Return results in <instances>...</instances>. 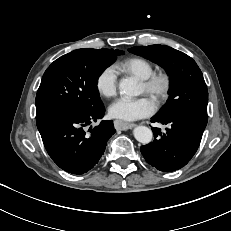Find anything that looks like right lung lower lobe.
<instances>
[{"instance_id":"98d812e1","label":"right lung lower lobe","mask_w":231,"mask_h":231,"mask_svg":"<svg viewBox=\"0 0 231 231\" xmlns=\"http://www.w3.org/2000/svg\"><path fill=\"white\" fill-rule=\"evenodd\" d=\"M104 113L102 106L86 114L59 112L37 119L44 146L61 169L78 175L98 163L108 139L116 131L111 120H103L94 128L90 126L102 119Z\"/></svg>"}]
</instances>
